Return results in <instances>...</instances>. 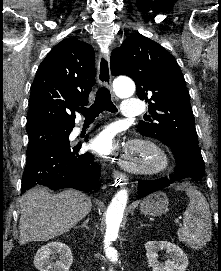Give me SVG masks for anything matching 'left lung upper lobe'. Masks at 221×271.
<instances>
[{"mask_svg": "<svg viewBox=\"0 0 221 271\" xmlns=\"http://www.w3.org/2000/svg\"><path fill=\"white\" fill-rule=\"evenodd\" d=\"M110 61L111 73L131 77L138 97L149 103L153 120L148 116L141 121L138 131L165 145L181 146L203 161L189 92L176 59L153 40L133 34L112 51Z\"/></svg>", "mask_w": 221, "mask_h": 271, "instance_id": "5c2ea615", "label": "left lung upper lobe"}]
</instances>
